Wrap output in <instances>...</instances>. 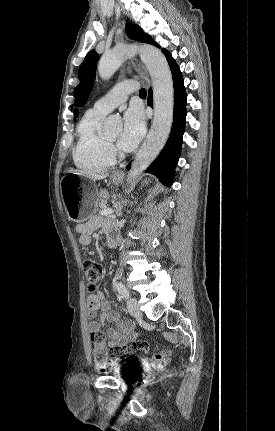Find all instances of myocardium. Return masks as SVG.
Here are the masks:
<instances>
[{
    "mask_svg": "<svg viewBox=\"0 0 275 431\" xmlns=\"http://www.w3.org/2000/svg\"><path fill=\"white\" fill-rule=\"evenodd\" d=\"M106 142L108 144L110 153L112 157L115 159L117 157L122 158V154L118 151V149L115 147L114 143L106 139Z\"/></svg>",
    "mask_w": 275,
    "mask_h": 431,
    "instance_id": "obj_1",
    "label": "myocardium"
}]
</instances>
